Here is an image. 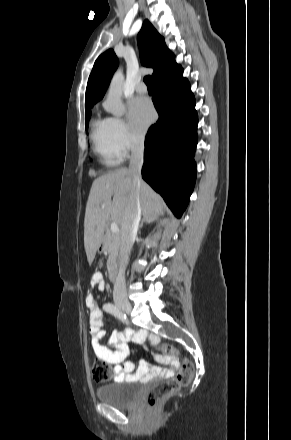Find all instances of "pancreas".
Returning a JSON list of instances; mask_svg holds the SVG:
<instances>
[{
	"label": "pancreas",
	"mask_w": 291,
	"mask_h": 440,
	"mask_svg": "<svg viewBox=\"0 0 291 440\" xmlns=\"http://www.w3.org/2000/svg\"><path fill=\"white\" fill-rule=\"evenodd\" d=\"M119 248L120 235L118 233H112L109 229H106V233L103 236V249L108 254V265L116 262Z\"/></svg>",
	"instance_id": "cf45deb5"
}]
</instances>
